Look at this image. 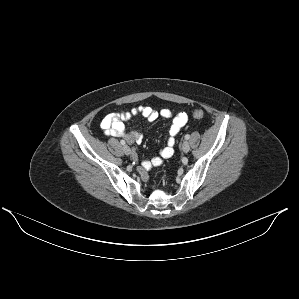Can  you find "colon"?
I'll list each match as a JSON object with an SVG mask.
<instances>
[{"mask_svg":"<svg viewBox=\"0 0 299 299\" xmlns=\"http://www.w3.org/2000/svg\"><path fill=\"white\" fill-rule=\"evenodd\" d=\"M193 116L197 119H201L204 116V111L201 109H197L193 112Z\"/></svg>","mask_w":299,"mask_h":299,"instance_id":"5ec220e1","label":"colon"}]
</instances>
